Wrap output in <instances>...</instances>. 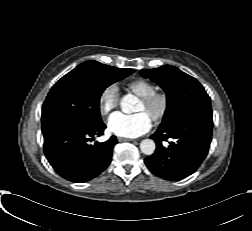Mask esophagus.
Segmentation results:
<instances>
[{"mask_svg":"<svg viewBox=\"0 0 252 231\" xmlns=\"http://www.w3.org/2000/svg\"><path fill=\"white\" fill-rule=\"evenodd\" d=\"M119 142H124V141H135L134 139H129V138H124V137H118Z\"/></svg>","mask_w":252,"mask_h":231,"instance_id":"34e87169","label":"esophagus"}]
</instances>
